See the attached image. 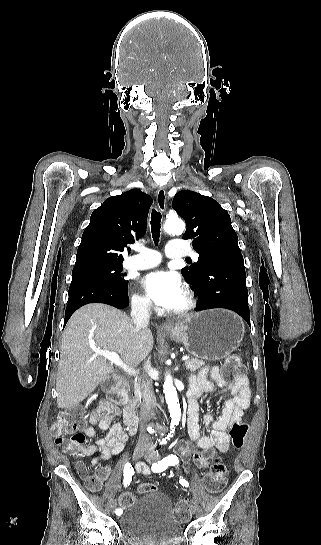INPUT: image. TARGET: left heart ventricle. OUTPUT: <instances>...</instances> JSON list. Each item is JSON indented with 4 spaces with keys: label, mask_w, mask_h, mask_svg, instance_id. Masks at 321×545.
<instances>
[{
    "label": "left heart ventricle",
    "mask_w": 321,
    "mask_h": 545,
    "mask_svg": "<svg viewBox=\"0 0 321 545\" xmlns=\"http://www.w3.org/2000/svg\"><path fill=\"white\" fill-rule=\"evenodd\" d=\"M185 304H186V298H185V295H184V292H183V294H182V296H181V298H180V300H179V302H178V305L176 306L175 310L184 307Z\"/></svg>",
    "instance_id": "obj_1"
}]
</instances>
